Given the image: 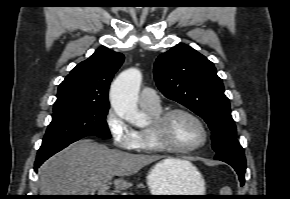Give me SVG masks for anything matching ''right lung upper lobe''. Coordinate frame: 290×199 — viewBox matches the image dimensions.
<instances>
[{
    "mask_svg": "<svg viewBox=\"0 0 290 199\" xmlns=\"http://www.w3.org/2000/svg\"><path fill=\"white\" fill-rule=\"evenodd\" d=\"M123 61L121 53L98 48L59 85L54 108L70 104H109L110 82Z\"/></svg>",
    "mask_w": 290,
    "mask_h": 199,
    "instance_id": "right-lung-upper-lobe-1",
    "label": "right lung upper lobe"
}]
</instances>
